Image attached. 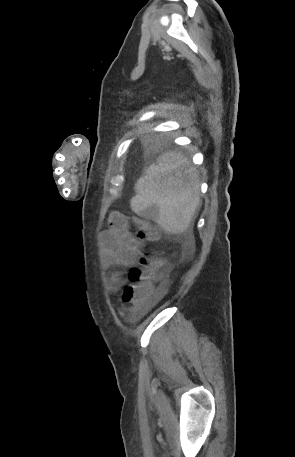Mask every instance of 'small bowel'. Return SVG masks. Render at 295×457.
Segmentation results:
<instances>
[{"label": "small bowel", "instance_id": "c3829d8e", "mask_svg": "<svg viewBox=\"0 0 295 457\" xmlns=\"http://www.w3.org/2000/svg\"><path fill=\"white\" fill-rule=\"evenodd\" d=\"M108 227L102 233V244L107 264L110 267L133 268L136 266L142 250V242L131 232L129 219L120 212H112L107 220ZM124 280L119 274H114L110 280V289L118 290ZM166 292V285L161 283L147 302L152 303ZM147 304V303H146Z\"/></svg>", "mask_w": 295, "mask_h": 457}]
</instances>
